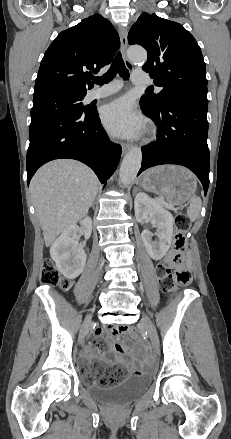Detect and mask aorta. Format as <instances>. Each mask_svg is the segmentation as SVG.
<instances>
[{
  "instance_id": "1",
  "label": "aorta",
  "mask_w": 231,
  "mask_h": 439,
  "mask_svg": "<svg viewBox=\"0 0 231 439\" xmlns=\"http://www.w3.org/2000/svg\"><path fill=\"white\" fill-rule=\"evenodd\" d=\"M128 57L132 62L145 63L147 52L142 47H130ZM142 163V152L139 147H133L124 157L119 178L123 186H128L136 177Z\"/></svg>"
}]
</instances>
